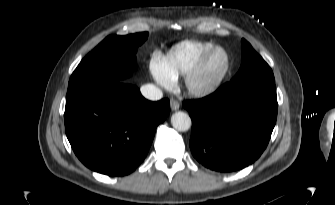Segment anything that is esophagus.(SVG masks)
I'll use <instances>...</instances> for the list:
<instances>
[{
	"label": "esophagus",
	"mask_w": 335,
	"mask_h": 205,
	"mask_svg": "<svg viewBox=\"0 0 335 205\" xmlns=\"http://www.w3.org/2000/svg\"><path fill=\"white\" fill-rule=\"evenodd\" d=\"M170 106H171V109H172L173 111L178 110L179 107H180L179 102L176 101L175 99H171V100H170Z\"/></svg>",
	"instance_id": "1"
}]
</instances>
